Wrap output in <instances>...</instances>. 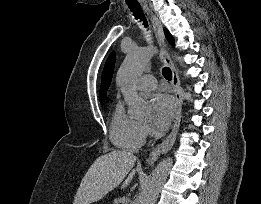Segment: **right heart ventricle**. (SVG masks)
Masks as SVG:
<instances>
[{
    "instance_id": "1",
    "label": "right heart ventricle",
    "mask_w": 261,
    "mask_h": 204,
    "mask_svg": "<svg viewBox=\"0 0 261 204\" xmlns=\"http://www.w3.org/2000/svg\"><path fill=\"white\" fill-rule=\"evenodd\" d=\"M110 139L118 148L136 151L143 142L142 124L128 116L121 103H118L110 121Z\"/></svg>"
}]
</instances>
